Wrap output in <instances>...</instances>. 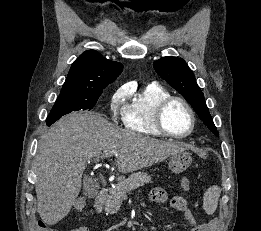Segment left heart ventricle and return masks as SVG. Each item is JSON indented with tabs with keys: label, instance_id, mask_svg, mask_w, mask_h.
Returning a JSON list of instances; mask_svg holds the SVG:
<instances>
[{
	"label": "left heart ventricle",
	"instance_id": "b2bd125f",
	"mask_svg": "<svg viewBox=\"0 0 261 231\" xmlns=\"http://www.w3.org/2000/svg\"><path fill=\"white\" fill-rule=\"evenodd\" d=\"M164 121L167 129L174 134L187 132L191 119L186 107L180 102H172L165 111Z\"/></svg>",
	"mask_w": 261,
	"mask_h": 231
}]
</instances>
